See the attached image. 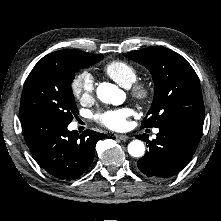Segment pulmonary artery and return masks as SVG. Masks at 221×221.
I'll use <instances>...</instances> for the list:
<instances>
[{"mask_svg":"<svg viewBox=\"0 0 221 221\" xmlns=\"http://www.w3.org/2000/svg\"><path fill=\"white\" fill-rule=\"evenodd\" d=\"M155 133H158V130H155Z\"/></svg>","mask_w":221,"mask_h":221,"instance_id":"1","label":"pulmonary artery"}]
</instances>
